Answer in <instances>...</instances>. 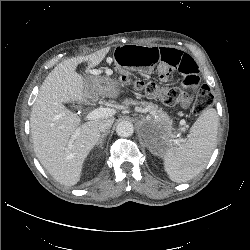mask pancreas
<instances>
[{
	"label": "pancreas",
	"mask_w": 250,
	"mask_h": 250,
	"mask_svg": "<svg viewBox=\"0 0 250 250\" xmlns=\"http://www.w3.org/2000/svg\"><path fill=\"white\" fill-rule=\"evenodd\" d=\"M125 105H141L142 107L146 108L150 114H152L154 117L157 118V120L160 119H168L166 114L162 111V109H159L156 105H154L153 103H148V102H136L133 100H128L126 99L123 102ZM165 138L170 141L171 136L169 134L165 135Z\"/></svg>",
	"instance_id": "pancreas-1"
}]
</instances>
